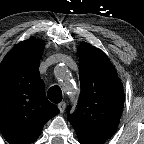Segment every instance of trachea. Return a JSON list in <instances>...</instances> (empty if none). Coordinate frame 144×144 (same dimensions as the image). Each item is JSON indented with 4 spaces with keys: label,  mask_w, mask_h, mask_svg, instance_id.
<instances>
[{
    "label": "trachea",
    "mask_w": 144,
    "mask_h": 144,
    "mask_svg": "<svg viewBox=\"0 0 144 144\" xmlns=\"http://www.w3.org/2000/svg\"><path fill=\"white\" fill-rule=\"evenodd\" d=\"M48 98L53 103H60L62 101V91L58 86H52L47 92Z\"/></svg>",
    "instance_id": "1"
}]
</instances>
